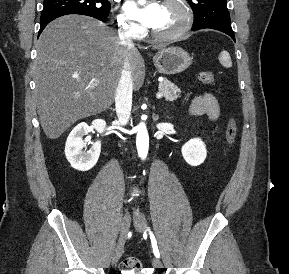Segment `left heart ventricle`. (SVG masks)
Wrapping results in <instances>:
<instances>
[{"mask_svg":"<svg viewBox=\"0 0 289 274\" xmlns=\"http://www.w3.org/2000/svg\"><path fill=\"white\" fill-rule=\"evenodd\" d=\"M183 21V11L175 3L161 4L158 17L155 24L151 27L153 30L166 33L177 29Z\"/></svg>","mask_w":289,"mask_h":274,"instance_id":"left-heart-ventricle-1","label":"left heart ventricle"}]
</instances>
